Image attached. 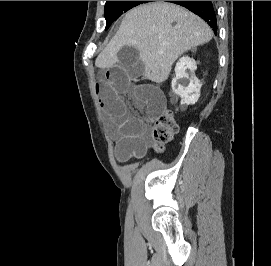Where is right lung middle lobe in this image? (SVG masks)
<instances>
[{
    "mask_svg": "<svg viewBox=\"0 0 271 266\" xmlns=\"http://www.w3.org/2000/svg\"><path fill=\"white\" fill-rule=\"evenodd\" d=\"M151 1H106L105 4V19H106V28L107 30L110 25L116 21L124 12L129 9Z\"/></svg>",
    "mask_w": 271,
    "mask_h": 266,
    "instance_id": "right-lung-middle-lobe-1",
    "label": "right lung middle lobe"
}]
</instances>
